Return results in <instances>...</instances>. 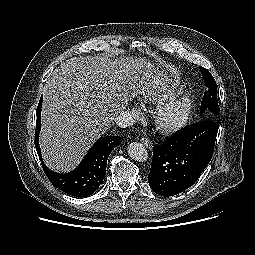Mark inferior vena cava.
<instances>
[{
  "label": "inferior vena cava",
  "mask_w": 255,
  "mask_h": 255,
  "mask_svg": "<svg viewBox=\"0 0 255 255\" xmlns=\"http://www.w3.org/2000/svg\"><path fill=\"white\" fill-rule=\"evenodd\" d=\"M114 121L121 127L126 128L134 124V120L129 111L120 112L114 119Z\"/></svg>",
  "instance_id": "602c4592"
}]
</instances>
